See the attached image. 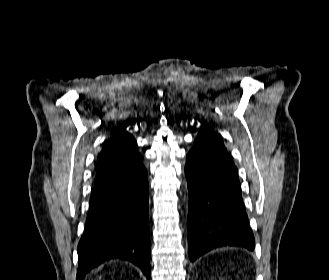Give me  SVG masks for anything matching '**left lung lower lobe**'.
Returning <instances> with one entry per match:
<instances>
[{"label":"left lung lower lobe","mask_w":329,"mask_h":280,"mask_svg":"<svg viewBox=\"0 0 329 280\" xmlns=\"http://www.w3.org/2000/svg\"><path fill=\"white\" fill-rule=\"evenodd\" d=\"M212 172L188 162L185 175L190 196L188 214L189 258L193 262L206 252L226 246L254 250L238 172L228 154L218 155Z\"/></svg>","instance_id":"1"}]
</instances>
